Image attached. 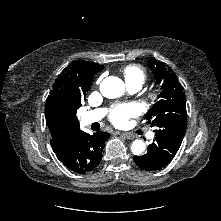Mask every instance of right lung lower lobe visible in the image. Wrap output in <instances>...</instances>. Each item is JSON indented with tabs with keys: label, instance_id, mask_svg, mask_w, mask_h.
<instances>
[{
	"label": "right lung lower lobe",
	"instance_id": "right-lung-lower-lobe-1",
	"mask_svg": "<svg viewBox=\"0 0 221 221\" xmlns=\"http://www.w3.org/2000/svg\"><path fill=\"white\" fill-rule=\"evenodd\" d=\"M109 133L98 131L93 135L81 131L74 143L56 151L57 158L71 171L84 174L93 170L102 159Z\"/></svg>",
	"mask_w": 221,
	"mask_h": 221
}]
</instances>
